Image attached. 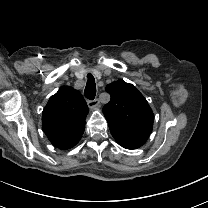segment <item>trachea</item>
Segmentation results:
<instances>
[{"label":"trachea","mask_w":208,"mask_h":208,"mask_svg":"<svg viewBox=\"0 0 208 208\" xmlns=\"http://www.w3.org/2000/svg\"><path fill=\"white\" fill-rule=\"evenodd\" d=\"M87 85L84 91V95L89 100H94L96 96V86H95V80L92 74L87 75Z\"/></svg>","instance_id":"trachea-1"}]
</instances>
